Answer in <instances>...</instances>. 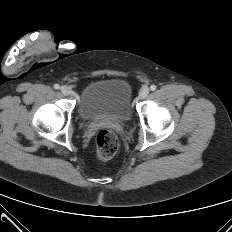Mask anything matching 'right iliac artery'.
Masks as SVG:
<instances>
[{"instance_id": "82829eb1", "label": "right iliac artery", "mask_w": 232, "mask_h": 232, "mask_svg": "<svg viewBox=\"0 0 232 232\" xmlns=\"http://www.w3.org/2000/svg\"><path fill=\"white\" fill-rule=\"evenodd\" d=\"M59 88H60L59 84L54 85V89H59Z\"/></svg>"}]
</instances>
